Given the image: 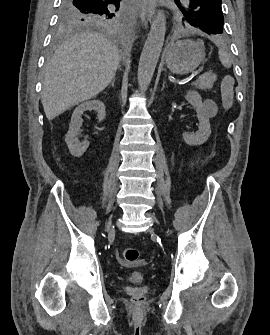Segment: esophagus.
Wrapping results in <instances>:
<instances>
[{
  "mask_svg": "<svg viewBox=\"0 0 270 335\" xmlns=\"http://www.w3.org/2000/svg\"><path fill=\"white\" fill-rule=\"evenodd\" d=\"M157 0H139L140 3V18L145 28L151 24V20L155 14Z\"/></svg>",
  "mask_w": 270,
  "mask_h": 335,
  "instance_id": "34e87169",
  "label": "esophagus"
}]
</instances>
